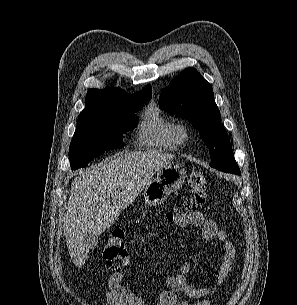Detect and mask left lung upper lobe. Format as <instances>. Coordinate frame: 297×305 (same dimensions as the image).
Instances as JSON below:
<instances>
[{
    "instance_id": "5c2ea615",
    "label": "left lung upper lobe",
    "mask_w": 297,
    "mask_h": 305,
    "mask_svg": "<svg viewBox=\"0 0 297 305\" xmlns=\"http://www.w3.org/2000/svg\"><path fill=\"white\" fill-rule=\"evenodd\" d=\"M159 104L171 115L189 120L209 147L210 166L240 174L230 139L221 124L211 85L194 68H188L171 81L160 95Z\"/></svg>"
}]
</instances>
